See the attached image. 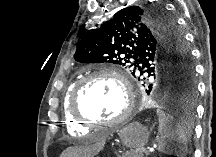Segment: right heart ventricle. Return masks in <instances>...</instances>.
Returning <instances> with one entry per match:
<instances>
[{"mask_svg": "<svg viewBox=\"0 0 216 157\" xmlns=\"http://www.w3.org/2000/svg\"><path fill=\"white\" fill-rule=\"evenodd\" d=\"M75 84L76 83L71 84L64 93L63 102H62L63 118H64L66 130L68 131V133L74 136H85L90 133L89 129L85 125L76 121L72 117L70 110H69L70 97H71Z\"/></svg>", "mask_w": 216, "mask_h": 157, "instance_id": "e07e8e85", "label": "right heart ventricle"}]
</instances>
